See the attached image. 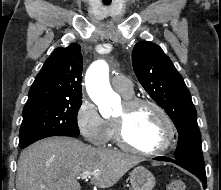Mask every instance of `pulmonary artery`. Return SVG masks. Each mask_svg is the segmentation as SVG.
Returning <instances> with one entry per match:
<instances>
[{"mask_svg": "<svg viewBox=\"0 0 221 190\" xmlns=\"http://www.w3.org/2000/svg\"><path fill=\"white\" fill-rule=\"evenodd\" d=\"M112 87L121 94L133 93V85L131 80L121 74L114 75L111 78Z\"/></svg>", "mask_w": 221, "mask_h": 190, "instance_id": "pulmonary-artery-1", "label": "pulmonary artery"}]
</instances>
